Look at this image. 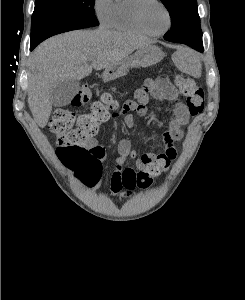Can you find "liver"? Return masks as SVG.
<instances>
[{
	"label": "liver",
	"instance_id": "1",
	"mask_svg": "<svg viewBox=\"0 0 245 300\" xmlns=\"http://www.w3.org/2000/svg\"><path fill=\"white\" fill-rule=\"evenodd\" d=\"M150 45L141 36L107 29L76 30L51 37L34 50L29 74L28 104L44 128L52 112L51 89L67 80H81ZM91 62V64H90Z\"/></svg>",
	"mask_w": 245,
	"mask_h": 300
}]
</instances>
